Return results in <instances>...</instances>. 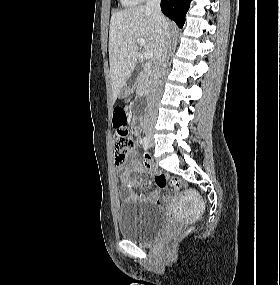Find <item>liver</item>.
<instances>
[{"instance_id": "6515ba94", "label": "liver", "mask_w": 280, "mask_h": 285, "mask_svg": "<svg viewBox=\"0 0 280 285\" xmlns=\"http://www.w3.org/2000/svg\"><path fill=\"white\" fill-rule=\"evenodd\" d=\"M168 28L171 26L168 20ZM145 40L146 51H155L156 28L151 10L131 7L114 13L110 20L109 61L113 103L134 71L139 55L137 39Z\"/></svg>"}]
</instances>
